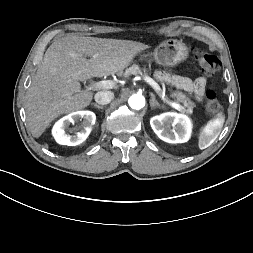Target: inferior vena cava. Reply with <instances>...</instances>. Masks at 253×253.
<instances>
[{
  "instance_id": "inferior-vena-cava-1",
  "label": "inferior vena cava",
  "mask_w": 253,
  "mask_h": 253,
  "mask_svg": "<svg viewBox=\"0 0 253 253\" xmlns=\"http://www.w3.org/2000/svg\"><path fill=\"white\" fill-rule=\"evenodd\" d=\"M96 103L100 105L109 104L113 98L114 93L111 91H99L94 96Z\"/></svg>"
}]
</instances>
